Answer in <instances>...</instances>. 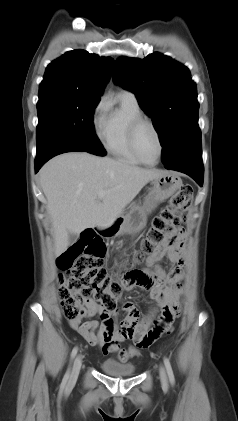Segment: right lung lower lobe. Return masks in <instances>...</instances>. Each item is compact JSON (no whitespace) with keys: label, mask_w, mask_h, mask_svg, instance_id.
Wrapping results in <instances>:
<instances>
[{"label":"right lung lower lobe","mask_w":238,"mask_h":421,"mask_svg":"<svg viewBox=\"0 0 238 421\" xmlns=\"http://www.w3.org/2000/svg\"><path fill=\"white\" fill-rule=\"evenodd\" d=\"M65 152H87L84 148L60 135L47 137L40 146L37 147L35 159V171H39L41 166L50 158Z\"/></svg>","instance_id":"right-lung-lower-lobe-1"}]
</instances>
